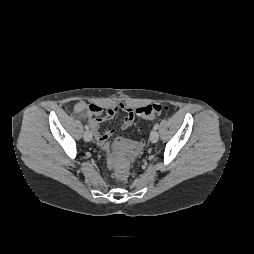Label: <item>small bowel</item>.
Listing matches in <instances>:
<instances>
[{
    "label": "small bowel",
    "instance_id": "obj_1",
    "mask_svg": "<svg viewBox=\"0 0 254 254\" xmlns=\"http://www.w3.org/2000/svg\"><path fill=\"white\" fill-rule=\"evenodd\" d=\"M93 107V111L89 112L88 108L89 106H86L84 102H79L75 105V111L77 113H81L86 116L92 131L94 132L96 136V140L98 144L103 149H108L110 144V139L112 138L114 131L113 130H104L100 131V125L103 121L110 119L114 117V115L117 112H124L125 117L122 123L121 128L123 130L129 128L132 126L134 119H135V112L132 108L124 105L123 103H118L113 107H108L106 109H103L100 106L97 105H90ZM130 155L133 157L136 154L130 153Z\"/></svg>",
    "mask_w": 254,
    "mask_h": 254
}]
</instances>
